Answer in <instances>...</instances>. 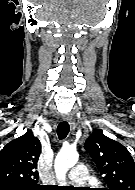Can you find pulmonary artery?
Listing matches in <instances>:
<instances>
[{"instance_id": "1", "label": "pulmonary artery", "mask_w": 135, "mask_h": 190, "mask_svg": "<svg viewBox=\"0 0 135 190\" xmlns=\"http://www.w3.org/2000/svg\"><path fill=\"white\" fill-rule=\"evenodd\" d=\"M68 179L76 184H85L89 179L88 169L84 164L75 165L68 174Z\"/></svg>"}]
</instances>
